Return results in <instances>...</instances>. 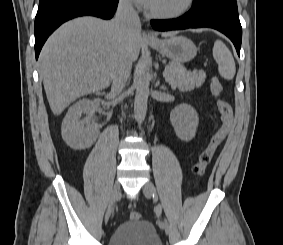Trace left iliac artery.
I'll return each instance as SVG.
<instances>
[{
  "label": "left iliac artery",
  "instance_id": "44dca946",
  "mask_svg": "<svg viewBox=\"0 0 283 245\" xmlns=\"http://www.w3.org/2000/svg\"><path fill=\"white\" fill-rule=\"evenodd\" d=\"M161 213H162V207H161V205H158L157 208H156V215L158 217V225L159 226L163 225V226H166L167 228H169V224H168L167 220L162 221V220L159 219V217L161 216Z\"/></svg>",
  "mask_w": 283,
  "mask_h": 245
}]
</instances>
